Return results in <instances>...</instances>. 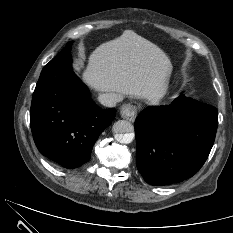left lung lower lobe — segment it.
Listing matches in <instances>:
<instances>
[{
    "label": "left lung lower lobe",
    "mask_w": 233,
    "mask_h": 233,
    "mask_svg": "<svg viewBox=\"0 0 233 233\" xmlns=\"http://www.w3.org/2000/svg\"><path fill=\"white\" fill-rule=\"evenodd\" d=\"M217 127L215 107L185 96L143 110L135 121V137L144 180L163 186L195 175L208 158Z\"/></svg>",
    "instance_id": "left-lung-lower-lobe-1"
}]
</instances>
